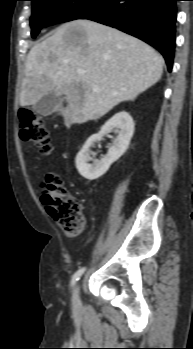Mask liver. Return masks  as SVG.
Masks as SVG:
<instances>
[{"instance_id":"6515ba94","label":"liver","mask_w":193,"mask_h":349,"mask_svg":"<svg viewBox=\"0 0 193 349\" xmlns=\"http://www.w3.org/2000/svg\"><path fill=\"white\" fill-rule=\"evenodd\" d=\"M163 64L152 47L117 29L89 20L67 22L31 48L20 105H33L49 94L65 95L67 106L54 111L67 124L97 120L156 84Z\"/></svg>"}]
</instances>
